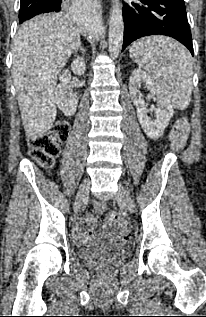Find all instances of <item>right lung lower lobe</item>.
<instances>
[{
    "instance_id": "1",
    "label": "right lung lower lobe",
    "mask_w": 206,
    "mask_h": 317,
    "mask_svg": "<svg viewBox=\"0 0 206 317\" xmlns=\"http://www.w3.org/2000/svg\"><path fill=\"white\" fill-rule=\"evenodd\" d=\"M66 0H54L52 2H49V5L52 6V5H59L61 2H64Z\"/></svg>"
}]
</instances>
